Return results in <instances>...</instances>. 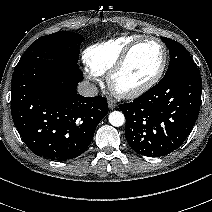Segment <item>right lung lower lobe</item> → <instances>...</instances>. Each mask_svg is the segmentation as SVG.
Segmentation results:
<instances>
[{
    "label": "right lung lower lobe",
    "instance_id": "right-lung-lower-lobe-1",
    "mask_svg": "<svg viewBox=\"0 0 212 212\" xmlns=\"http://www.w3.org/2000/svg\"><path fill=\"white\" fill-rule=\"evenodd\" d=\"M78 64L42 59L14 69L11 113L27 147L51 160H69L89 146L99 122L107 115V100L83 97L77 84Z\"/></svg>",
    "mask_w": 212,
    "mask_h": 212
}]
</instances>
